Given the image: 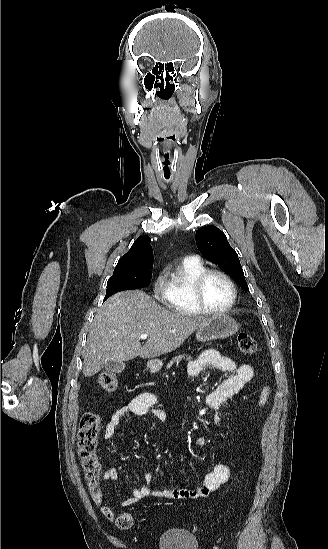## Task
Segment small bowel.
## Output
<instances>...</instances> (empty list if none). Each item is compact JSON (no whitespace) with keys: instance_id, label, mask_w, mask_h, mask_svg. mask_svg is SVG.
Returning <instances> with one entry per match:
<instances>
[{"instance_id":"c3829d8e","label":"small bowel","mask_w":328,"mask_h":549,"mask_svg":"<svg viewBox=\"0 0 328 549\" xmlns=\"http://www.w3.org/2000/svg\"><path fill=\"white\" fill-rule=\"evenodd\" d=\"M205 367L217 371L231 373V375L220 383L206 397V404L212 412V420L215 425L220 424L219 409L221 404L229 397L241 391L254 377V370L248 364H238L232 358L220 353L217 350L209 349L201 353L196 359L189 362L187 372L190 376H198ZM157 396L152 392H144L134 397L128 404L117 409L110 417L104 429V438L111 439L115 436L120 423L129 415L137 417L152 416L165 422L166 415L157 407ZM195 445L204 447L207 439L203 436L195 440ZM231 476L230 468L225 464H217L208 471L201 483L193 488L174 487L152 490L151 484L155 481V473L147 472L144 475L145 484L132 490L131 495L123 502V506H131L141 499L158 495L163 498L174 500H194L206 498L225 484ZM118 478L115 469H108L103 475L104 482H116ZM102 513L112 518L113 510L105 504L100 506Z\"/></svg>"}]
</instances>
